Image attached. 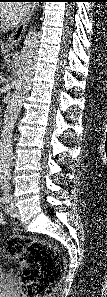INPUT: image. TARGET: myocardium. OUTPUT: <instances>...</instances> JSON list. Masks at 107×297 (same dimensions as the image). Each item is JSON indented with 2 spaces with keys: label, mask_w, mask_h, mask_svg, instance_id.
I'll use <instances>...</instances> for the list:
<instances>
[{
  "label": "myocardium",
  "mask_w": 107,
  "mask_h": 297,
  "mask_svg": "<svg viewBox=\"0 0 107 297\" xmlns=\"http://www.w3.org/2000/svg\"><path fill=\"white\" fill-rule=\"evenodd\" d=\"M1 23H2L4 26H6V25H7V23L3 22V20H2V19H1Z\"/></svg>",
  "instance_id": "1"
}]
</instances>
